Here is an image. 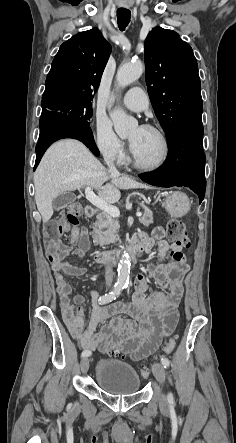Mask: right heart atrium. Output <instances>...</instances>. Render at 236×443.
<instances>
[{
	"label": "right heart atrium",
	"instance_id": "d8ad5b80",
	"mask_svg": "<svg viewBox=\"0 0 236 443\" xmlns=\"http://www.w3.org/2000/svg\"><path fill=\"white\" fill-rule=\"evenodd\" d=\"M93 140L108 160L120 163L125 157L124 143L116 136L110 126L103 120L98 119L93 130Z\"/></svg>",
	"mask_w": 236,
	"mask_h": 443
}]
</instances>
